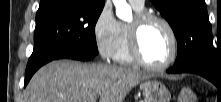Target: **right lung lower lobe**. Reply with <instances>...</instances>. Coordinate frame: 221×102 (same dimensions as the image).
I'll return each instance as SVG.
<instances>
[{"instance_id":"right-lung-lower-lobe-1","label":"right lung lower lobe","mask_w":221,"mask_h":102,"mask_svg":"<svg viewBox=\"0 0 221 102\" xmlns=\"http://www.w3.org/2000/svg\"><path fill=\"white\" fill-rule=\"evenodd\" d=\"M95 56H96L95 54H92V53L82 50V49L71 48V49L61 50L55 54L48 56L47 58H45L43 60H41L36 65H34L30 68H26L24 87L27 85V83L29 82L32 75L36 72L37 69H39L41 66H43L44 64H46L52 60L66 58V59H76V60L88 61V60L93 59Z\"/></svg>"}]
</instances>
